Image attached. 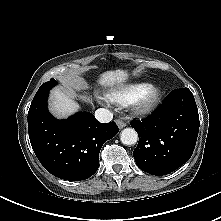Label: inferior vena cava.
Returning <instances> with one entry per match:
<instances>
[{
    "instance_id": "obj_1",
    "label": "inferior vena cava",
    "mask_w": 221,
    "mask_h": 221,
    "mask_svg": "<svg viewBox=\"0 0 221 221\" xmlns=\"http://www.w3.org/2000/svg\"><path fill=\"white\" fill-rule=\"evenodd\" d=\"M95 118L101 123L111 122L113 113L105 108H99L95 111Z\"/></svg>"
}]
</instances>
